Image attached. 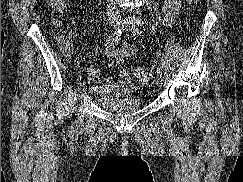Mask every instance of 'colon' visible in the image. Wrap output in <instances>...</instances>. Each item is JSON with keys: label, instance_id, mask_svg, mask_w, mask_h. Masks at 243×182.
I'll list each match as a JSON object with an SVG mask.
<instances>
[{"label": "colon", "instance_id": "obj_1", "mask_svg": "<svg viewBox=\"0 0 243 182\" xmlns=\"http://www.w3.org/2000/svg\"><path fill=\"white\" fill-rule=\"evenodd\" d=\"M189 7L194 8L196 7L200 0H186ZM48 4L56 23L60 22L61 17L63 16L64 9H65V0H48ZM60 44L61 49L65 55H69L71 53V43L67 36L60 37ZM135 77L141 81L145 82L149 78V73L146 68L144 67H137L134 70Z\"/></svg>", "mask_w": 243, "mask_h": 182}]
</instances>
